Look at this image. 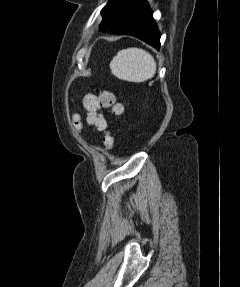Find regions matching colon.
<instances>
[{
  "label": "colon",
  "mask_w": 240,
  "mask_h": 287,
  "mask_svg": "<svg viewBox=\"0 0 240 287\" xmlns=\"http://www.w3.org/2000/svg\"><path fill=\"white\" fill-rule=\"evenodd\" d=\"M96 97L102 107L111 109V112L116 117H120L124 112V105L116 100L115 95L108 90L105 89H97ZM75 124L80 127V122L77 118H75ZM103 144L106 150H111L114 145V138L112 135L111 129H107L104 132L103 136Z\"/></svg>",
  "instance_id": "1"
}]
</instances>
